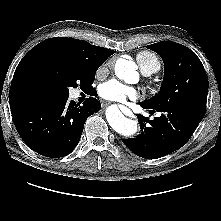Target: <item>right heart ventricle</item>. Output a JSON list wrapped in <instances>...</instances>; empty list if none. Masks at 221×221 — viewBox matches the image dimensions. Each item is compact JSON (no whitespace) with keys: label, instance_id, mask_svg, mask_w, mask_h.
<instances>
[{"label":"right heart ventricle","instance_id":"right-heart-ventricle-1","mask_svg":"<svg viewBox=\"0 0 221 221\" xmlns=\"http://www.w3.org/2000/svg\"><path fill=\"white\" fill-rule=\"evenodd\" d=\"M136 60L145 73H155L160 69V61L156 55L148 51L139 52L136 55Z\"/></svg>","mask_w":221,"mask_h":221}]
</instances>
